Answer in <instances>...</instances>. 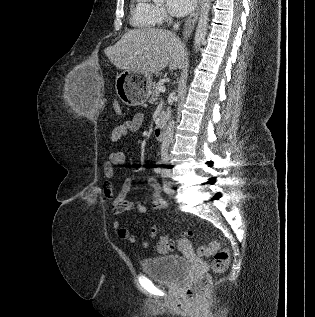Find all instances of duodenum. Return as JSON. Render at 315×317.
Returning a JSON list of instances; mask_svg holds the SVG:
<instances>
[{
    "mask_svg": "<svg viewBox=\"0 0 315 317\" xmlns=\"http://www.w3.org/2000/svg\"><path fill=\"white\" fill-rule=\"evenodd\" d=\"M166 129V118L164 115H161L156 123L155 129H154V136L157 139H162L165 134Z\"/></svg>",
    "mask_w": 315,
    "mask_h": 317,
    "instance_id": "duodenum-1",
    "label": "duodenum"
}]
</instances>
